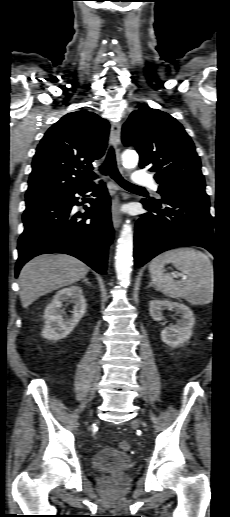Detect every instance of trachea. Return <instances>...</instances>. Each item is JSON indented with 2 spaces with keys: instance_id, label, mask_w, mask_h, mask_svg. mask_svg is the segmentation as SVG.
I'll return each instance as SVG.
<instances>
[{
  "instance_id": "obj_1",
  "label": "trachea",
  "mask_w": 230,
  "mask_h": 517,
  "mask_svg": "<svg viewBox=\"0 0 230 517\" xmlns=\"http://www.w3.org/2000/svg\"><path fill=\"white\" fill-rule=\"evenodd\" d=\"M100 172L103 175H110L120 186L126 189H134V188H143L123 179V177L118 172L115 160V153L113 148H110L104 163L100 166Z\"/></svg>"
}]
</instances>
